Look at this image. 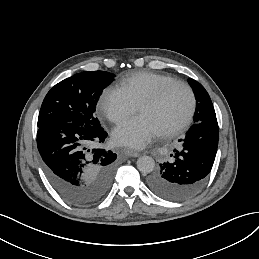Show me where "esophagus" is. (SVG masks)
Wrapping results in <instances>:
<instances>
[{"label":"esophagus","mask_w":259,"mask_h":259,"mask_svg":"<svg viewBox=\"0 0 259 259\" xmlns=\"http://www.w3.org/2000/svg\"><path fill=\"white\" fill-rule=\"evenodd\" d=\"M126 155L129 156V157H139L140 154L138 152H135L133 150H126Z\"/></svg>","instance_id":"esophagus-1"}]
</instances>
